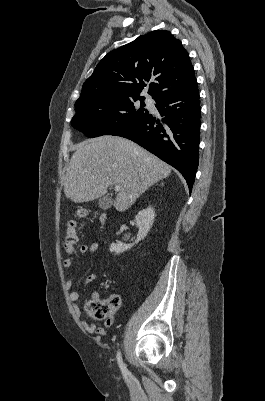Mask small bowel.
Returning a JSON list of instances; mask_svg holds the SVG:
<instances>
[{
	"label": "small bowel",
	"instance_id": "small-bowel-1",
	"mask_svg": "<svg viewBox=\"0 0 265 401\" xmlns=\"http://www.w3.org/2000/svg\"><path fill=\"white\" fill-rule=\"evenodd\" d=\"M99 247H100V245L97 242H92L89 244H81L78 247L73 246L71 248L67 247L64 244V248L68 254V257L63 261L64 267L71 268L74 264L75 259H79L84 254H93L99 249ZM96 278H97V276L95 274L87 275L84 280V285L95 281ZM66 287H67V289H71L73 287V281L71 279L66 282ZM79 297H80V293L76 290L71 291L69 294V299L71 302L74 303V311L77 316L81 315L80 308L77 305ZM93 299H99V294L95 293L93 295ZM112 322H113V319H109L106 322V325H110V324H112ZM82 326L90 333H97V334L105 333L104 329L98 327L96 324H90L88 322L83 321Z\"/></svg>",
	"mask_w": 265,
	"mask_h": 401
}]
</instances>
